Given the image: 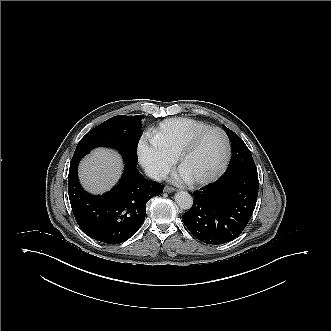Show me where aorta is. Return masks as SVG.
<instances>
[{
	"instance_id": "1",
	"label": "aorta",
	"mask_w": 331,
	"mask_h": 331,
	"mask_svg": "<svg viewBox=\"0 0 331 331\" xmlns=\"http://www.w3.org/2000/svg\"><path fill=\"white\" fill-rule=\"evenodd\" d=\"M175 202L183 210H189L193 206V197L186 191H179L174 196Z\"/></svg>"
}]
</instances>
